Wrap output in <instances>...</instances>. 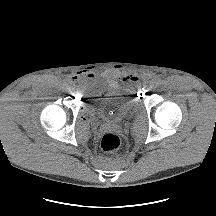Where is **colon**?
<instances>
[{
	"instance_id": "obj_1",
	"label": "colon",
	"mask_w": 216,
	"mask_h": 216,
	"mask_svg": "<svg viewBox=\"0 0 216 216\" xmlns=\"http://www.w3.org/2000/svg\"><path fill=\"white\" fill-rule=\"evenodd\" d=\"M120 145V137L115 133H106L101 139V148L104 151H115Z\"/></svg>"
}]
</instances>
